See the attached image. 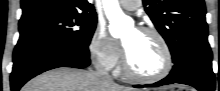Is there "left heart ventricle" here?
<instances>
[{"label":"left heart ventricle","mask_w":220,"mask_h":91,"mask_svg":"<svg viewBox=\"0 0 220 91\" xmlns=\"http://www.w3.org/2000/svg\"><path fill=\"white\" fill-rule=\"evenodd\" d=\"M122 40L130 67L134 72L142 75H154L162 69L164 65L163 51L152 35L131 28L125 33Z\"/></svg>","instance_id":"left-heart-ventricle-1"}]
</instances>
